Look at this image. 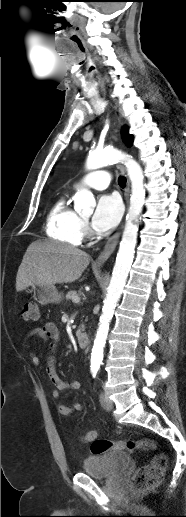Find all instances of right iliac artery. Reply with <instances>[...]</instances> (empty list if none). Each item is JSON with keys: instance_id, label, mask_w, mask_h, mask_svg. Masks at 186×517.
<instances>
[{"instance_id": "82829eb1", "label": "right iliac artery", "mask_w": 186, "mask_h": 517, "mask_svg": "<svg viewBox=\"0 0 186 517\" xmlns=\"http://www.w3.org/2000/svg\"><path fill=\"white\" fill-rule=\"evenodd\" d=\"M95 374H96V371H95V372H93V375H94V376H95Z\"/></svg>"}]
</instances>
